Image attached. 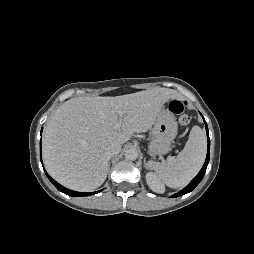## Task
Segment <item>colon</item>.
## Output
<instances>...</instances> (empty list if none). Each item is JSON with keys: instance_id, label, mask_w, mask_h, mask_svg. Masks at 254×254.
I'll list each match as a JSON object with an SVG mask.
<instances>
[{"instance_id": "colon-1", "label": "colon", "mask_w": 254, "mask_h": 254, "mask_svg": "<svg viewBox=\"0 0 254 254\" xmlns=\"http://www.w3.org/2000/svg\"><path fill=\"white\" fill-rule=\"evenodd\" d=\"M170 110L179 116V122L183 128L187 127L190 122V118L185 112L186 102L180 100H172L169 106Z\"/></svg>"}]
</instances>
